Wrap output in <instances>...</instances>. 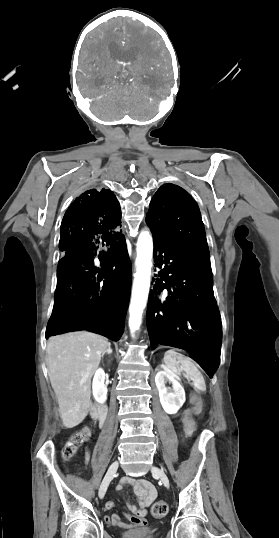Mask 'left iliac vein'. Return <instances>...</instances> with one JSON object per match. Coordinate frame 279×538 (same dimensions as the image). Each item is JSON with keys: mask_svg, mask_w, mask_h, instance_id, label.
I'll return each mask as SVG.
<instances>
[{"mask_svg": "<svg viewBox=\"0 0 279 538\" xmlns=\"http://www.w3.org/2000/svg\"><path fill=\"white\" fill-rule=\"evenodd\" d=\"M151 471L153 475L158 476L161 479L165 487L169 488V479L162 469L158 467H152Z\"/></svg>", "mask_w": 279, "mask_h": 538, "instance_id": "1", "label": "left iliac vein"}]
</instances>
